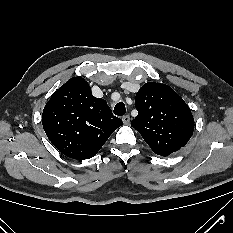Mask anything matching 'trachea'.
I'll list each match as a JSON object with an SVG mask.
<instances>
[{
  "label": "trachea",
  "instance_id": "obj_1",
  "mask_svg": "<svg viewBox=\"0 0 233 233\" xmlns=\"http://www.w3.org/2000/svg\"><path fill=\"white\" fill-rule=\"evenodd\" d=\"M125 112H126V109H125V105L123 102L117 103L116 106L114 107V114L117 116H122L125 114Z\"/></svg>",
  "mask_w": 233,
  "mask_h": 233
}]
</instances>
